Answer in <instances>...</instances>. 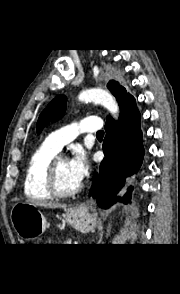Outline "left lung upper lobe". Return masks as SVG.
<instances>
[{"instance_id": "5c2ea615", "label": "left lung upper lobe", "mask_w": 180, "mask_h": 294, "mask_svg": "<svg viewBox=\"0 0 180 294\" xmlns=\"http://www.w3.org/2000/svg\"><path fill=\"white\" fill-rule=\"evenodd\" d=\"M107 87L116 97L120 107L126 100L132 97L129 93L126 92L125 88L121 86L118 81L110 80L107 84ZM66 101V96L60 95L48 104V106L39 116L37 122V133H40L42 129L50 122H55L63 116L66 108ZM109 118L111 117L108 116L107 119Z\"/></svg>"}]
</instances>
